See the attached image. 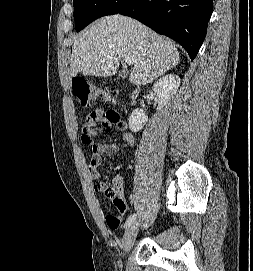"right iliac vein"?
<instances>
[{"instance_id": "63e3f726", "label": "right iliac vein", "mask_w": 253, "mask_h": 271, "mask_svg": "<svg viewBox=\"0 0 253 271\" xmlns=\"http://www.w3.org/2000/svg\"><path fill=\"white\" fill-rule=\"evenodd\" d=\"M139 224L137 222H133L130 226L125 230L123 239H122V249L125 252H129L132 248L137 232H138Z\"/></svg>"}]
</instances>
